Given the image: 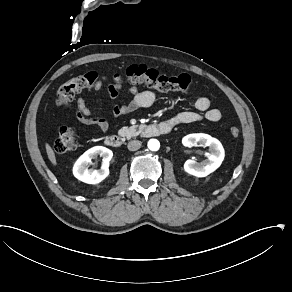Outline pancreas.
Listing matches in <instances>:
<instances>
[{
    "mask_svg": "<svg viewBox=\"0 0 292 292\" xmlns=\"http://www.w3.org/2000/svg\"><path fill=\"white\" fill-rule=\"evenodd\" d=\"M136 129H137L136 125L131 127H123L118 131V134L122 137L130 138L138 134Z\"/></svg>",
    "mask_w": 292,
    "mask_h": 292,
    "instance_id": "cf45deb5",
    "label": "pancreas"
}]
</instances>
